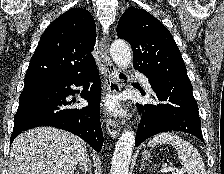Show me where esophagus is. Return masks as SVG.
<instances>
[{"label": "esophagus", "mask_w": 224, "mask_h": 174, "mask_svg": "<svg viewBox=\"0 0 224 174\" xmlns=\"http://www.w3.org/2000/svg\"><path fill=\"white\" fill-rule=\"evenodd\" d=\"M99 54L105 70V80L107 91L109 93H118L121 91V84L118 78L117 69L108 53V37L103 36L99 43ZM106 129L110 137L115 138L119 135L120 126L118 122L111 118L106 120Z\"/></svg>", "instance_id": "34e87169"}]
</instances>
